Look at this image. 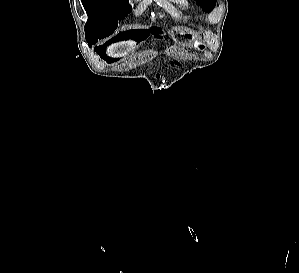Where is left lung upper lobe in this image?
<instances>
[{
    "label": "left lung upper lobe",
    "mask_w": 299,
    "mask_h": 273,
    "mask_svg": "<svg viewBox=\"0 0 299 273\" xmlns=\"http://www.w3.org/2000/svg\"><path fill=\"white\" fill-rule=\"evenodd\" d=\"M195 1L202 7V9L205 12L209 13L215 7L217 0H195Z\"/></svg>",
    "instance_id": "5c2ea615"
}]
</instances>
